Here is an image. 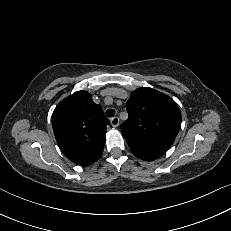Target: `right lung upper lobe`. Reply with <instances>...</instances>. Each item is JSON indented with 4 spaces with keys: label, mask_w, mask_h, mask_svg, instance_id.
Masks as SVG:
<instances>
[{
    "label": "right lung upper lobe",
    "mask_w": 231,
    "mask_h": 231,
    "mask_svg": "<svg viewBox=\"0 0 231 231\" xmlns=\"http://www.w3.org/2000/svg\"><path fill=\"white\" fill-rule=\"evenodd\" d=\"M109 120L86 91L61 101L52 114L53 131L63 154L82 167L97 161L103 152Z\"/></svg>",
    "instance_id": "1"
}]
</instances>
